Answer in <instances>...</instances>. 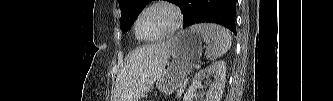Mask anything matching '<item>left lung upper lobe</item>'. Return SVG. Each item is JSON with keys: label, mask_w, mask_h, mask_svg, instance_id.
I'll return each instance as SVG.
<instances>
[{"label": "left lung upper lobe", "mask_w": 333, "mask_h": 101, "mask_svg": "<svg viewBox=\"0 0 333 101\" xmlns=\"http://www.w3.org/2000/svg\"><path fill=\"white\" fill-rule=\"evenodd\" d=\"M152 0H119L121 9V27L123 31H127L131 24L136 20L145 4ZM180 7L181 0H167Z\"/></svg>", "instance_id": "left-lung-upper-lobe-1"}]
</instances>
